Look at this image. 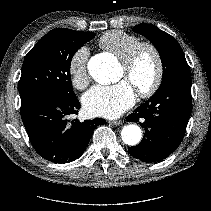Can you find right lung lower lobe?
Returning a JSON list of instances; mask_svg holds the SVG:
<instances>
[{"label":"right lung lower lobe","mask_w":211,"mask_h":211,"mask_svg":"<svg viewBox=\"0 0 211 211\" xmlns=\"http://www.w3.org/2000/svg\"><path fill=\"white\" fill-rule=\"evenodd\" d=\"M80 108L77 97L63 99L40 95L21 103V118L36 152L54 163H69L86 149L96 126L106 123L102 118L70 122L68 116Z\"/></svg>","instance_id":"right-lung-lower-lobe-1"}]
</instances>
